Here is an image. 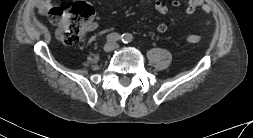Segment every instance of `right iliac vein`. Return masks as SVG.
<instances>
[{
	"label": "right iliac vein",
	"instance_id": "right-iliac-vein-1",
	"mask_svg": "<svg viewBox=\"0 0 253 138\" xmlns=\"http://www.w3.org/2000/svg\"><path fill=\"white\" fill-rule=\"evenodd\" d=\"M113 48H114L113 43H112V42H107V43L104 45V47H103V51L106 52V53H108V52L112 51Z\"/></svg>",
	"mask_w": 253,
	"mask_h": 138
}]
</instances>
